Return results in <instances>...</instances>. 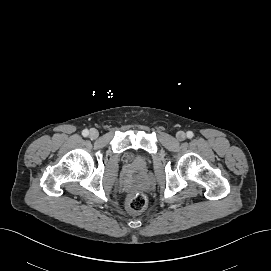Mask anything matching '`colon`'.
Here are the masks:
<instances>
[{
	"label": "colon",
	"instance_id": "colon-1",
	"mask_svg": "<svg viewBox=\"0 0 271 271\" xmlns=\"http://www.w3.org/2000/svg\"><path fill=\"white\" fill-rule=\"evenodd\" d=\"M147 197L142 192H135L131 194L127 200V208L133 213H140L147 207Z\"/></svg>",
	"mask_w": 271,
	"mask_h": 271
}]
</instances>
